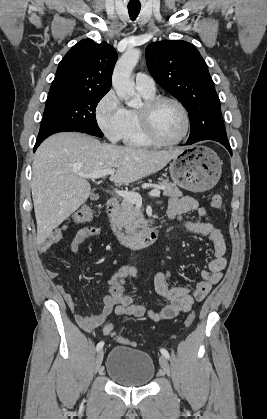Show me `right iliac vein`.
<instances>
[{
	"label": "right iliac vein",
	"instance_id": "obj_1",
	"mask_svg": "<svg viewBox=\"0 0 267 419\" xmlns=\"http://www.w3.org/2000/svg\"><path fill=\"white\" fill-rule=\"evenodd\" d=\"M103 356H104V351L100 350L96 356V360H95V371L97 372L101 366L102 360H103Z\"/></svg>",
	"mask_w": 267,
	"mask_h": 419
}]
</instances>
